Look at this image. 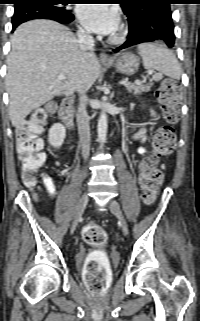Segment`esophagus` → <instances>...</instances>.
I'll use <instances>...</instances> for the list:
<instances>
[{
    "instance_id": "1",
    "label": "esophagus",
    "mask_w": 200,
    "mask_h": 321,
    "mask_svg": "<svg viewBox=\"0 0 200 321\" xmlns=\"http://www.w3.org/2000/svg\"><path fill=\"white\" fill-rule=\"evenodd\" d=\"M100 61L101 62H110L111 61V58L110 56L105 52V51H102L100 53Z\"/></svg>"
}]
</instances>
